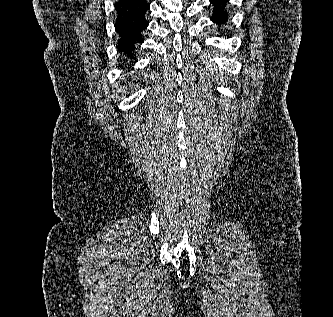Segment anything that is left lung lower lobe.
Instances as JSON below:
<instances>
[{"instance_id": "0a47b994", "label": "left lung lower lobe", "mask_w": 333, "mask_h": 317, "mask_svg": "<svg viewBox=\"0 0 333 317\" xmlns=\"http://www.w3.org/2000/svg\"><path fill=\"white\" fill-rule=\"evenodd\" d=\"M210 2L214 6L211 21L218 25H224L228 20V12L225 9L227 0H210Z\"/></svg>"}]
</instances>
